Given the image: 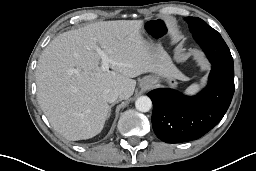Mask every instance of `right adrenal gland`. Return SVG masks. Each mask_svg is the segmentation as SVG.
<instances>
[{"label": "right adrenal gland", "mask_w": 256, "mask_h": 171, "mask_svg": "<svg viewBox=\"0 0 256 171\" xmlns=\"http://www.w3.org/2000/svg\"><path fill=\"white\" fill-rule=\"evenodd\" d=\"M113 106H114V104H111V105L109 106L107 119H108V118L110 117V115H111V109H112Z\"/></svg>", "instance_id": "right-adrenal-gland-1"}]
</instances>
